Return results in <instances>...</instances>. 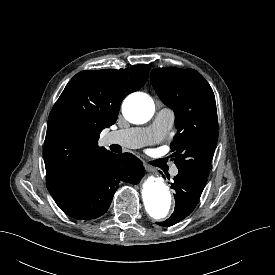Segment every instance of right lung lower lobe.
Masks as SVG:
<instances>
[{
	"label": "right lung lower lobe",
	"mask_w": 275,
	"mask_h": 275,
	"mask_svg": "<svg viewBox=\"0 0 275 275\" xmlns=\"http://www.w3.org/2000/svg\"><path fill=\"white\" fill-rule=\"evenodd\" d=\"M143 175V163L136 156L109 151L79 169L52 196L68 216L79 220L94 219L108 210L120 181L137 184Z\"/></svg>",
	"instance_id": "right-lung-lower-lobe-1"
}]
</instances>
